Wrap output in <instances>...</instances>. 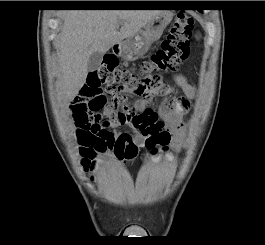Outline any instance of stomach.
I'll use <instances>...</instances> for the list:
<instances>
[{
  "label": "stomach",
  "instance_id": "stomach-1",
  "mask_svg": "<svg viewBox=\"0 0 265 245\" xmlns=\"http://www.w3.org/2000/svg\"><path fill=\"white\" fill-rule=\"evenodd\" d=\"M172 18V12L161 11L143 29L118 44L119 56L126 61H134L142 57L147 53L151 44L161 37Z\"/></svg>",
  "mask_w": 265,
  "mask_h": 245
}]
</instances>
